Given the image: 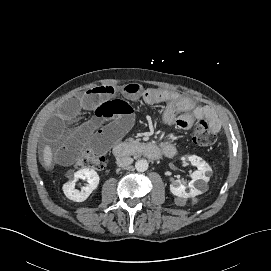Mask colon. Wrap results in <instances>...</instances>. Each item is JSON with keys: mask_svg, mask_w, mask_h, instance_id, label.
<instances>
[{"mask_svg": "<svg viewBox=\"0 0 271 271\" xmlns=\"http://www.w3.org/2000/svg\"><path fill=\"white\" fill-rule=\"evenodd\" d=\"M178 124L181 127L185 126L183 121H179ZM193 141L195 144L207 148L215 144L216 135L206 120L200 119L195 123ZM104 165V158L91 151H85L75 163V167L78 169L91 168L95 170H101L104 168Z\"/></svg>", "mask_w": 271, "mask_h": 271, "instance_id": "obj_1", "label": "colon"}]
</instances>
